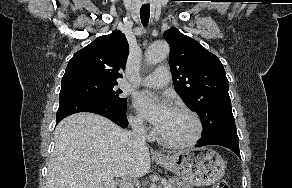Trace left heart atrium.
I'll return each mask as SVG.
<instances>
[{
  "instance_id": "39dd6f15",
  "label": "left heart atrium",
  "mask_w": 292,
  "mask_h": 188,
  "mask_svg": "<svg viewBox=\"0 0 292 188\" xmlns=\"http://www.w3.org/2000/svg\"><path fill=\"white\" fill-rule=\"evenodd\" d=\"M136 108L147 117L159 131L172 112V107L165 101H157L151 92H141L135 100Z\"/></svg>"
}]
</instances>
